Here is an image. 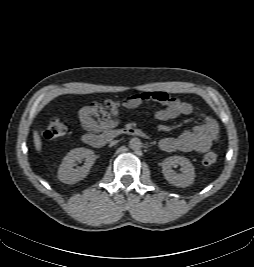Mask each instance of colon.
<instances>
[{
	"label": "colon",
	"mask_w": 254,
	"mask_h": 267,
	"mask_svg": "<svg viewBox=\"0 0 254 267\" xmlns=\"http://www.w3.org/2000/svg\"><path fill=\"white\" fill-rule=\"evenodd\" d=\"M68 130V125L60 120L59 118H53L50 120L48 126L46 127L44 131V137L48 140H53L57 139L63 135L66 134ZM217 154L214 152H208L204 157H203V164L205 166H211L217 162Z\"/></svg>",
	"instance_id": "5ec220e1"
}]
</instances>
